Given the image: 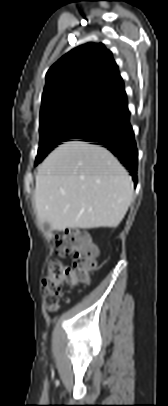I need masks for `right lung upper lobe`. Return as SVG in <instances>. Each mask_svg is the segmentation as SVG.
<instances>
[{
	"label": "right lung upper lobe",
	"mask_w": 168,
	"mask_h": 406,
	"mask_svg": "<svg viewBox=\"0 0 168 406\" xmlns=\"http://www.w3.org/2000/svg\"><path fill=\"white\" fill-rule=\"evenodd\" d=\"M123 93L112 53L102 43H87L65 54L48 70L40 118L81 102L109 104Z\"/></svg>",
	"instance_id": "cb5924a9"
}]
</instances>
